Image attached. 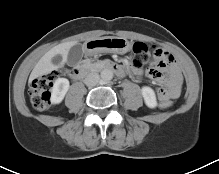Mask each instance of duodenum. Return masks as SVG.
<instances>
[{
  "label": "duodenum",
  "instance_id": "obj_1",
  "mask_svg": "<svg viewBox=\"0 0 219 174\" xmlns=\"http://www.w3.org/2000/svg\"><path fill=\"white\" fill-rule=\"evenodd\" d=\"M96 70H111L117 75H122V68L115 62L102 61L93 65H84L71 70L70 75L74 79H80Z\"/></svg>",
  "mask_w": 219,
  "mask_h": 174
}]
</instances>
